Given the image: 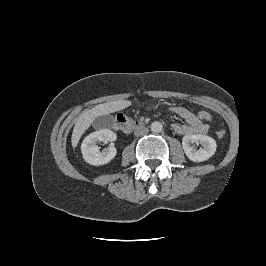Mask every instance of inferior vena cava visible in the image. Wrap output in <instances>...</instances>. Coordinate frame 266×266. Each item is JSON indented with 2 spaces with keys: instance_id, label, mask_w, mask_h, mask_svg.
<instances>
[{
  "instance_id": "1",
  "label": "inferior vena cava",
  "mask_w": 266,
  "mask_h": 266,
  "mask_svg": "<svg viewBox=\"0 0 266 266\" xmlns=\"http://www.w3.org/2000/svg\"><path fill=\"white\" fill-rule=\"evenodd\" d=\"M148 131H149L148 128L140 127V128L135 130L134 135L135 136H140V135H143V134L147 133Z\"/></svg>"
}]
</instances>
